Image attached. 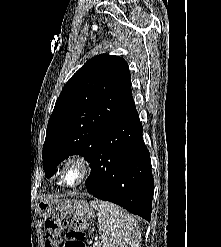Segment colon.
Returning <instances> with one entry per match:
<instances>
[{
	"mask_svg": "<svg viewBox=\"0 0 221 247\" xmlns=\"http://www.w3.org/2000/svg\"><path fill=\"white\" fill-rule=\"evenodd\" d=\"M45 247H85L84 222L77 217L68 216L48 219L45 222ZM67 230V231H66ZM66 231L65 241L63 234Z\"/></svg>",
	"mask_w": 221,
	"mask_h": 247,
	"instance_id": "5ec220e1",
	"label": "colon"
}]
</instances>
